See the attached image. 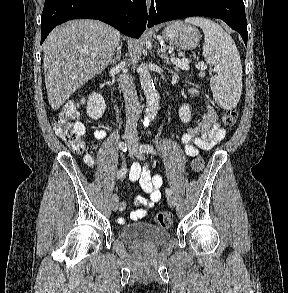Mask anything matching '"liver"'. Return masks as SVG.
I'll return each mask as SVG.
<instances>
[{"label": "liver", "instance_id": "6515ba94", "mask_svg": "<svg viewBox=\"0 0 288 293\" xmlns=\"http://www.w3.org/2000/svg\"><path fill=\"white\" fill-rule=\"evenodd\" d=\"M119 42V31L97 20H71L56 27L43 43L50 106L59 109L79 87L104 71Z\"/></svg>", "mask_w": 288, "mask_h": 293}]
</instances>
